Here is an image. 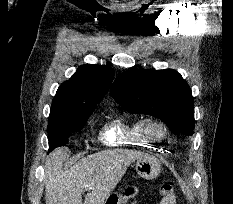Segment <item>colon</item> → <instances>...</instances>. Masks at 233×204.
Segmentation results:
<instances>
[{
  "label": "colon",
  "instance_id": "colon-1",
  "mask_svg": "<svg viewBox=\"0 0 233 204\" xmlns=\"http://www.w3.org/2000/svg\"><path fill=\"white\" fill-rule=\"evenodd\" d=\"M159 204H176V193L171 183H165L161 186Z\"/></svg>",
  "mask_w": 233,
  "mask_h": 204
}]
</instances>
